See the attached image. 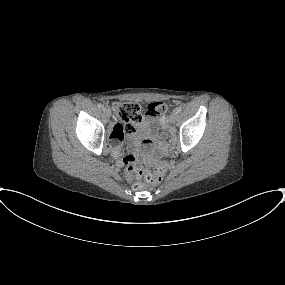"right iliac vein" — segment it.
Returning <instances> with one entry per match:
<instances>
[{
    "instance_id": "obj_1",
    "label": "right iliac vein",
    "mask_w": 285,
    "mask_h": 285,
    "mask_svg": "<svg viewBox=\"0 0 285 285\" xmlns=\"http://www.w3.org/2000/svg\"><path fill=\"white\" fill-rule=\"evenodd\" d=\"M103 112L107 117H110L111 115V110L108 107H103Z\"/></svg>"
}]
</instances>
